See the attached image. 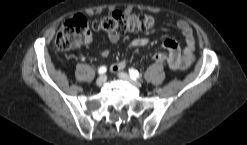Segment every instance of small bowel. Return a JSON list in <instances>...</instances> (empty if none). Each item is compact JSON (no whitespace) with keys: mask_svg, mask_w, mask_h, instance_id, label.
Segmentation results:
<instances>
[{"mask_svg":"<svg viewBox=\"0 0 247 145\" xmlns=\"http://www.w3.org/2000/svg\"><path fill=\"white\" fill-rule=\"evenodd\" d=\"M178 30L182 34L185 39V46L181 50L178 43L174 39H165L163 42V47L166 49L167 53H157L154 55V60L156 62H165L167 61L169 67L174 70H186L188 69L194 62V50H195V37L192 28L190 25L184 21L179 20L176 24ZM108 39L112 43H116L119 41L120 36L118 34L109 33ZM149 44V39L147 37H136L130 42L131 48H140L145 47ZM109 51L104 49L100 51L101 57H108ZM164 56V60L157 59L158 57ZM127 62L126 60H121L114 63L111 66V72L117 73L125 68Z\"/></svg>","mask_w":247,"mask_h":145,"instance_id":"small-bowel-1","label":"small bowel"}]
</instances>
